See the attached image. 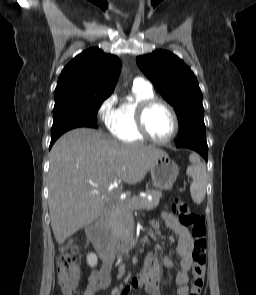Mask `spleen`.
Segmentation results:
<instances>
[{
    "mask_svg": "<svg viewBox=\"0 0 256 295\" xmlns=\"http://www.w3.org/2000/svg\"><path fill=\"white\" fill-rule=\"evenodd\" d=\"M191 165L187 168V174L192 178L190 193L193 201L200 204L206 195L207 174L206 167L201 162L198 154L192 153L189 156Z\"/></svg>",
    "mask_w": 256,
    "mask_h": 295,
    "instance_id": "1",
    "label": "spleen"
}]
</instances>
